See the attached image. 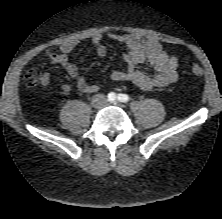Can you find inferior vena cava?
<instances>
[{
	"label": "inferior vena cava",
	"instance_id": "1",
	"mask_svg": "<svg viewBox=\"0 0 222 219\" xmlns=\"http://www.w3.org/2000/svg\"><path fill=\"white\" fill-rule=\"evenodd\" d=\"M96 100H100L101 101L100 104H103L106 101L103 94H97L96 96H94V101H96Z\"/></svg>",
	"mask_w": 222,
	"mask_h": 219
}]
</instances>
